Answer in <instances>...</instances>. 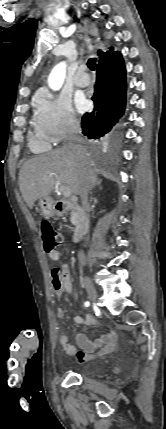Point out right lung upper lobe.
<instances>
[{
  "instance_id": "cb5924a9",
  "label": "right lung upper lobe",
  "mask_w": 166,
  "mask_h": 429,
  "mask_svg": "<svg viewBox=\"0 0 166 429\" xmlns=\"http://www.w3.org/2000/svg\"><path fill=\"white\" fill-rule=\"evenodd\" d=\"M114 52L115 51L113 50V48H110V50H108V51L98 50V52H97L98 59L104 58V57H107V56H112L114 54Z\"/></svg>"
}]
</instances>
